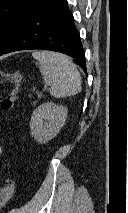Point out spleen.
Instances as JSON below:
<instances>
[{"label":"spleen","instance_id":"obj_1","mask_svg":"<svg viewBox=\"0 0 128 213\" xmlns=\"http://www.w3.org/2000/svg\"><path fill=\"white\" fill-rule=\"evenodd\" d=\"M50 94L55 98L73 96L81 91V77L71 58L61 53L33 51Z\"/></svg>","mask_w":128,"mask_h":213}]
</instances>
